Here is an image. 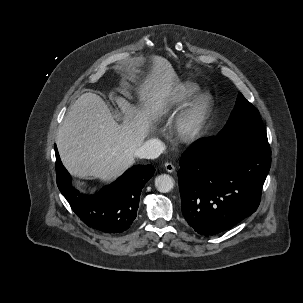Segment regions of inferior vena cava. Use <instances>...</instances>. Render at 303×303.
<instances>
[{
    "mask_svg": "<svg viewBox=\"0 0 303 303\" xmlns=\"http://www.w3.org/2000/svg\"><path fill=\"white\" fill-rule=\"evenodd\" d=\"M164 151V144L158 139L147 140L135 151V156L141 159H155Z\"/></svg>",
    "mask_w": 303,
    "mask_h": 303,
    "instance_id": "inferior-vena-cava-1",
    "label": "inferior vena cava"
}]
</instances>
